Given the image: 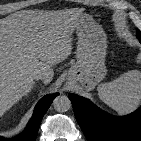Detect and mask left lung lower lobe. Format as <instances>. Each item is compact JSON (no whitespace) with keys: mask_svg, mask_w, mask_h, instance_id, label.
I'll return each mask as SVG.
<instances>
[{"mask_svg":"<svg viewBox=\"0 0 141 141\" xmlns=\"http://www.w3.org/2000/svg\"><path fill=\"white\" fill-rule=\"evenodd\" d=\"M141 43V35H137ZM75 117L88 141H141V107L116 117L102 111L88 99L69 94Z\"/></svg>","mask_w":141,"mask_h":141,"instance_id":"1","label":"left lung lower lobe"}]
</instances>
